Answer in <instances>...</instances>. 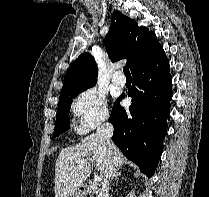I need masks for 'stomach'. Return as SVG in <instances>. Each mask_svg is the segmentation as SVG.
<instances>
[{
    "label": "stomach",
    "instance_id": "0dacf381",
    "mask_svg": "<svg viewBox=\"0 0 209 197\" xmlns=\"http://www.w3.org/2000/svg\"><path fill=\"white\" fill-rule=\"evenodd\" d=\"M70 197H82L79 192L73 193Z\"/></svg>",
    "mask_w": 209,
    "mask_h": 197
}]
</instances>
